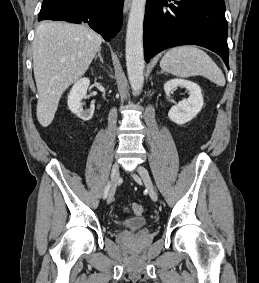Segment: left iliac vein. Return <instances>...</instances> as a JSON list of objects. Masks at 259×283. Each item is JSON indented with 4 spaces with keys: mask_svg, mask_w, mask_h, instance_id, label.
Returning a JSON list of instances; mask_svg holds the SVG:
<instances>
[{
    "mask_svg": "<svg viewBox=\"0 0 259 283\" xmlns=\"http://www.w3.org/2000/svg\"><path fill=\"white\" fill-rule=\"evenodd\" d=\"M137 172L140 175L141 179L143 180L151 199L153 201H157L158 200L157 192L155 190V187L152 183V180L149 176L148 171L143 166H138ZM135 179H136V176H135Z\"/></svg>",
    "mask_w": 259,
    "mask_h": 283,
    "instance_id": "left-iliac-vein-1",
    "label": "left iliac vein"
}]
</instances>
